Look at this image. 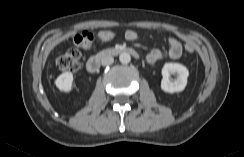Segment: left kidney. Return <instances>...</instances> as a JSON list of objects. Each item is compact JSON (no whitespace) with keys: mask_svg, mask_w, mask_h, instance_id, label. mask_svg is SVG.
Masks as SVG:
<instances>
[{"mask_svg":"<svg viewBox=\"0 0 244 157\" xmlns=\"http://www.w3.org/2000/svg\"><path fill=\"white\" fill-rule=\"evenodd\" d=\"M161 74L163 76L161 81V89L167 93L181 92L187 85V78L189 76L188 69L179 63H165ZM171 74H177V79L171 81L169 79Z\"/></svg>","mask_w":244,"mask_h":157,"instance_id":"obj_1","label":"left kidney"}]
</instances>
